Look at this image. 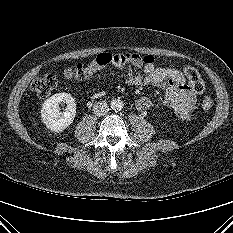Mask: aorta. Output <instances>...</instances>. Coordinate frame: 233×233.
Instances as JSON below:
<instances>
[{"label": "aorta", "mask_w": 233, "mask_h": 233, "mask_svg": "<svg viewBox=\"0 0 233 233\" xmlns=\"http://www.w3.org/2000/svg\"><path fill=\"white\" fill-rule=\"evenodd\" d=\"M110 107L114 111H120L123 108V102L119 99H114L111 101Z\"/></svg>", "instance_id": "aorta-1"}]
</instances>
